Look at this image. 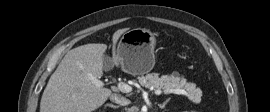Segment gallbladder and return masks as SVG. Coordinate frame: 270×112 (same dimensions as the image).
<instances>
[{
    "label": "gallbladder",
    "instance_id": "bac80fb5",
    "mask_svg": "<svg viewBox=\"0 0 270 112\" xmlns=\"http://www.w3.org/2000/svg\"><path fill=\"white\" fill-rule=\"evenodd\" d=\"M103 64L105 70H110L113 66V61L109 56L103 55Z\"/></svg>",
    "mask_w": 270,
    "mask_h": 112
}]
</instances>
